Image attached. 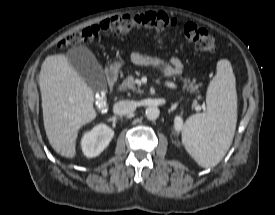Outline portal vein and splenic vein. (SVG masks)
<instances>
[{
	"label": "portal vein and splenic vein",
	"instance_id": "portal-vein-and-splenic-vein-1",
	"mask_svg": "<svg viewBox=\"0 0 275 215\" xmlns=\"http://www.w3.org/2000/svg\"><path fill=\"white\" fill-rule=\"evenodd\" d=\"M165 85L168 86V87H170V88H176V85H175L174 83H171V82H166ZM195 109H196L197 111H199V110L202 109V107L196 106Z\"/></svg>",
	"mask_w": 275,
	"mask_h": 215
}]
</instances>
